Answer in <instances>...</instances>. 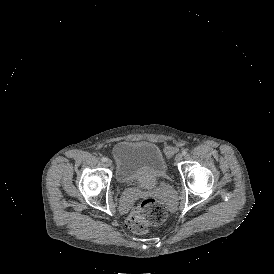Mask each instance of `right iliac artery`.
<instances>
[{
	"label": "right iliac artery",
	"mask_w": 274,
	"mask_h": 274,
	"mask_svg": "<svg viewBox=\"0 0 274 274\" xmlns=\"http://www.w3.org/2000/svg\"><path fill=\"white\" fill-rule=\"evenodd\" d=\"M101 160H102L103 162H106L107 158H106V157H102Z\"/></svg>",
	"instance_id": "82829eb1"
}]
</instances>
